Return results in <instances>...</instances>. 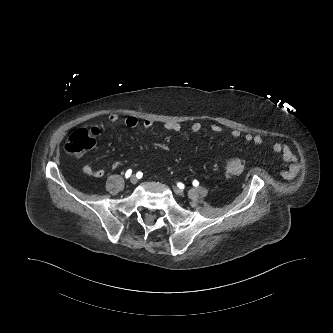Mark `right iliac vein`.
<instances>
[{"mask_svg": "<svg viewBox=\"0 0 333 333\" xmlns=\"http://www.w3.org/2000/svg\"><path fill=\"white\" fill-rule=\"evenodd\" d=\"M130 182H131V184H136L137 182H138V179H137V177L135 176V175H132L131 177H130Z\"/></svg>", "mask_w": 333, "mask_h": 333, "instance_id": "63e3f726", "label": "right iliac vein"}]
</instances>
